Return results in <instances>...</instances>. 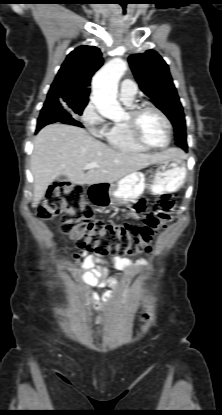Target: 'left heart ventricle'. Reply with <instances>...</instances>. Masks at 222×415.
Masks as SVG:
<instances>
[{
    "label": "left heart ventricle",
    "mask_w": 222,
    "mask_h": 415,
    "mask_svg": "<svg viewBox=\"0 0 222 415\" xmlns=\"http://www.w3.org/2000/svg\"><path fill=\"white\" fill-rule=\"evenodd\" d=\"M139 129L146 142L163 145L167 140V127L163 119L154 111H145L139 119Z\"/></svg>",
    "instance_id": "obj_1"
}]
</instances>
